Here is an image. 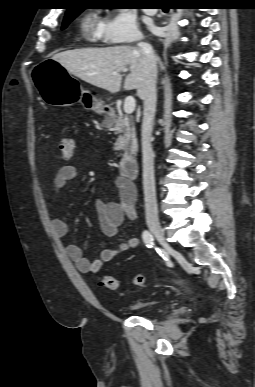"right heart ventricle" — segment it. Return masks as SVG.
I'll return each mask as SVG.
<instances>
[{
    "label": "right heart ventricle",
    "instance_id": "obj_1",
    "mask_svg": "<svg viewBox=\"0 0 255 387\" xmlns=\"http://www.w3.org/2000/svg\"><path fill=\"white\" fill-rule=\"evenodd\" d=\"M103 20L95 14H87L81 23V30L89 41H97L101 38Z\"/></svg>",
    "mask_w": 255,
    "mask_h": 387
}]
</instances>
